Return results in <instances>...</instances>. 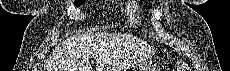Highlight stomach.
<instances>
[{"label": "stomach", "mask_w": 230, "mask_h": 71, "mask_svg": "<svg viewBox=\"0 0 230 71\" xmlns=\"http://www.w3.org/2000/svg\"><path fill=\"white\" fill-rule=\"evenodd\" d=\"M153 69H154L153 66L146 64V65L138 66L135 71H152Z\"/></svg>", "instance_id": "0dacf381"}]
</instances>
